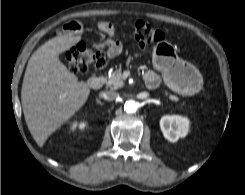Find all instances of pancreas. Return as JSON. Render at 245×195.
I'll use <instances>...</instances> for the list:
<instances>
[{
    "label": "pancreas",
    "instance_id": "pancreas-1",
    "mask_svg": "<svg viewBox=\"0 0 245 195\" xmlns=\"http://www.w3.org/2000/svg\"><path fill=\"white\" fill-rule=\"evenodd\" d=\"M106 85L111 88V89H118L121 88L122 86H124V81H123V77H122V73L120 70H117L115 72L112 73V75L107 79L106 81ZM166 95H169V99L172 101H178V97L169 94L168 92H166Z\"/></svg>",
    "mask_w": 245,
    "mask_h": 195
}]
</instances>
